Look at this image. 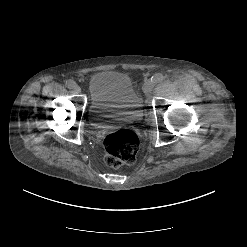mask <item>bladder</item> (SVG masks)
Listing matches in <instances>:
<instances>
[{"label": "bladder", "mask_w": 247, "mask_h": 247, "mask_svg": "<svg viewBox=\"0 0 247 247\" xmlns=\"http://www.w3.org/2000/svg\"><path fill=\"white\" fill-rule=\"evenodd\" d=\"M88 116L97 127L133 122L141 115V100L131 79L119 72L102 71L88 83Z\"/></svg>", "instance_id": "bladder-1"}]
</instances>
